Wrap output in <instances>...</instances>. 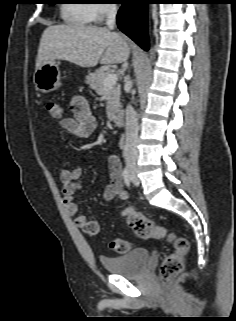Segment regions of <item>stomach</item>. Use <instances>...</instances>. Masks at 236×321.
<instances>
[{
    "instance_id": "stomach-1",
    "label": "stomach",
    "mask_w": 236,
    "mask_h": 321,
    "mask_svg": "<svg viewBox=\"0 0 236 321\" xmlns=\"http://www.w3.org/2000/svg\"><path fill=\"white\" fill-rule=\"evenodd\" d=\"M60 76V62L55 60L44 63L39 69L35 70L33 82L38 91L49 93L61 86Z\"/></svg>"
}]
</instances>
